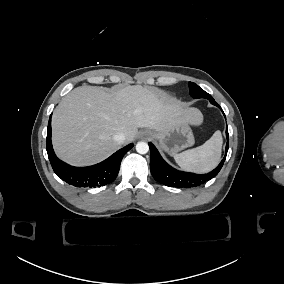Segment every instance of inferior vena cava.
Wrapping results in <instances>:
<instances>
[{
    "label": "inferior vena cava",
    "instance_id": "obj_1",
    "mask_svg": "<svg viewBox=\"0 0 284 284\" xmlns=\"http://www.w3.org/2000/svg\"><path fill=\"white\" fill-rule=\"evenodd\" d=\"M113 139L119 144H122L125 141V135L123 133H117L113 136Z\"/></svg>",
    "mask_w": 284,
    "mask_h": 284
}]
</instances>
